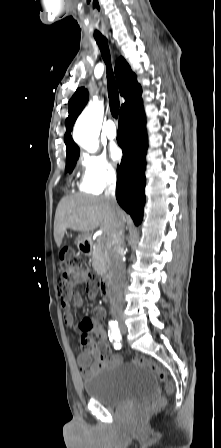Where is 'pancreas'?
Returning a JSON list of instances; mask_svg holds the SVG:
<instances>
[{
  "instance_id": "obj_1",
  "label": "pancreas",
  "mask_w": 221,
  "mask_h": 448,
  "mask_svg": "<svg viewBox=\"0 0 221 448\" xmlns=\"http://www.w3.org/2000/svg\"><path fill=\"white\" fill-rule=\"evenodd\" d=\"M108 264V248L104 242L98 241L92 256V266L93 268L102 273L106 270Z\"/></svg>"
}]
</instances>
